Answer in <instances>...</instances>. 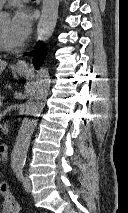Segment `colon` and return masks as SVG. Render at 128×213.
<instances>
[{"mask_svg":"<svg viewBox=\"0 0 128 213\" xmlns=\"http://www.w3.org/2000/svg\"><path fill=\"white\" fill-rule=\"evenodd\" d=\"M0 195L2 196L4 200L3 202L9 209L10 213H24L5 183H0Z\"/></svg>","mask_w":128,"mask_h":213,"instance_id":"obj_1","label":"colon"}]
</instances>
